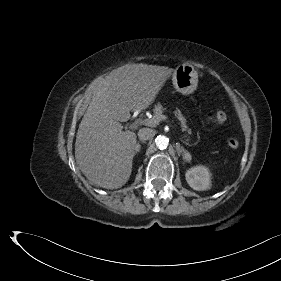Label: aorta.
<instances>
[{"label":"aorta","mask_w":281,"mask_h":281,"mask_svg":"<svg viewBox=\"0 0 281 281\" xmlns=\"http://www.w3.org/2000/svg\"><path fill=\"white\" fill-rule=\"evenodd\" d=\"M155 143H156V146L159 148V149H165L168 144H169V139L166 137V136H163V135H159L157 136V138L155 139Z\"/></svg>","instance_id":"1"}]
</instances>
